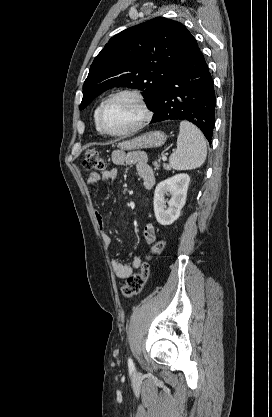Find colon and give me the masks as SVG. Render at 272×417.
I'll return each instance as SVG.
<instances>
[{
  "label": "colon",
  "instance_id": "1",
  "mask_svg": "<svg viewBox=\"0 0 272 417\" xmlns=\"http://www.w3.org/2000/svg\"><path fill=\"white\" fill-rule=\"evenodd\" d=\"M82 163L83 167L88 171H103L106 168V161L95 149H89L86 151ZM165 246V241H157L149 247V253L153 256L159 255L163 252ZM149 271V263L144 261L141 265L140 271L130 275L126 279L125 284L121 287L122 296L124 298H130L139 294L148 279Z\"/></svg>",
  "mask_w": 272,
  "mask_h": 417
}]
</instances>
